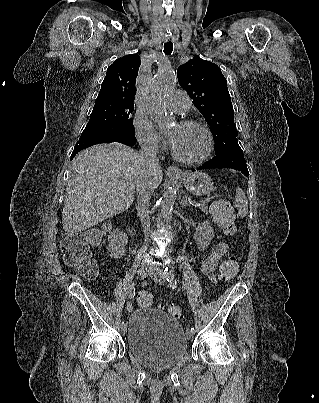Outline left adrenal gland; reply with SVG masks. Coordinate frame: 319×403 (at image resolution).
I'll list each match as a JSON object with an SVG mask.
<instances>
[{
	"label": "left adrenal gland",
	"mask_w": 319,
	"mask_h": 403,
	"mask_svg": "<svg viewBox=\"0 0 319 403\" xmlns=\"http://www.w3.org/2000/svg\"><path fill=\"white\" fill-rule=\"evenodd\" d=\"M185 206H190V204L187 203V196H184L180 203L181 208H183Z\"/></svg>",
	"instance_id": "a2214340"
}]
</instances>
